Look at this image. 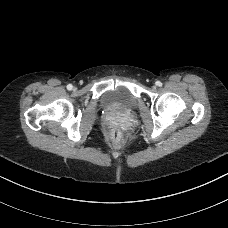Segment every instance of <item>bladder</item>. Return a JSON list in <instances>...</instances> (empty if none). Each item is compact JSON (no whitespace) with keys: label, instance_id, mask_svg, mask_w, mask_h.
<instances>
[{"label":"bladder","instance_id":"1","mask_svg":"<svg viewBox=\"0 0 228 228\" xmlns=\"http://www.w3.org/2000/svg\"><path fill=\"white\" fill-rule=\"evenodd\" d=\"M105 107H116L120 109L132 108L135 104V97L129 89L118 87L107 91L101 100Z\"/></svg>","mask_w":228,"mask_h":228}]
</instances>
